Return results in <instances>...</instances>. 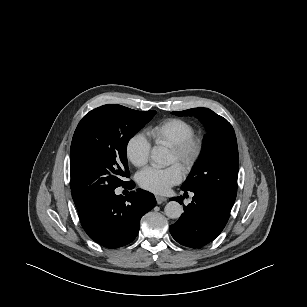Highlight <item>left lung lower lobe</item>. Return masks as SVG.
Wrapping results in <instances>:
<instances>
[{"label":"left lung lower lobe","mask_w":307,"mask_h":307,"mask_svg":"<svg viewBox=\"0 0 307 307\" xmlns=\"http://www.w3.org/2000/svg\"><path fill=\"white\" fill-rule=\"evenodd\" d=\"M182 204L183 197L171 198ZM179 220L169 227L181 245L198 248L214 240L225 227L230 208L204 192H194L193 201L184 206Z\"/></svg>","instance_id":"obj_1"}]
</instances>
